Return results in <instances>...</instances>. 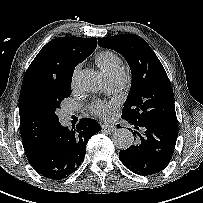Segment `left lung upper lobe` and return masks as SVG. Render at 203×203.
<instances>
[{"instance_id": "left-lung-upper-lobe-1", "label": "left lung upper lobe", "mask_w": 203, "mask_h": 203, "mask_svg": "<svg viewBox=\"0 0 203 203\" xmlns=\"http://www.w3.org/2000/svg\"><path fill=\"white\" fill-rule=\"evenodd\" d=\"M98 44L120 53L132 72L131 89L122 109V118L131 123L177 124L171 83L148 43L138 35L121 34L98 38Z\"/></svg>"}]
</instances>
